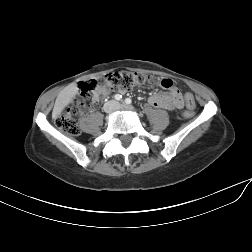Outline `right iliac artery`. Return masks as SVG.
I'll list each match as a JSON object with an SVG mask.
<instances>
[{"instance_id":"82829eb1","label":"right iliac artery","mask_w":252,"mask_h":252,"mask_svg":"<svg viewBox=\"0 0 252 252\" xmlns=\"http://www.w3.org/2000/svg\"><path fill=\"white\" fill-rule=\"evenodd\" d=\"M115 99H116L117 101L121 100V99H122V95L116 94V95H115Z\"/></svg>"}]
</instances>
